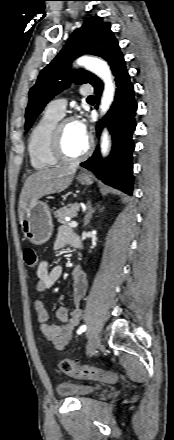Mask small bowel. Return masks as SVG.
Wrapping results in <instances>:
<instances>
[{"mask_svg":"<svg viewBox=\"0 0 174 440\" xmlns=\"http://www.w3.org/2000/svg\"><path fill=\"white\" fill-rule=\"evenodd\" d=\"M77 234L67 226H61L58 229L57 236L53 245L56 251L63 250L67 246H76ZM62 267L60 265L49 266L46 261H41L37 271L35 282V292L33 305L37 313V320L40 331L45 338L53 344L56 349H62L70 343L73 338V332L78 325L83 313L82 301L87 290V277L83 269L79 266L72 270V291L71 303L72 310L68 311L66 307H59L56 316L58 324L48 322V313L43 303V296L61 277Z\"/></svg>","mask_w":174,"mask_h":440,"instance_id":"obj_1","label":"small bowel"}]
</instances>
